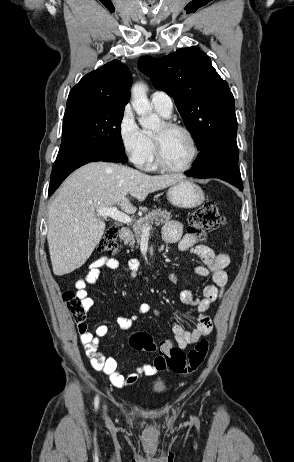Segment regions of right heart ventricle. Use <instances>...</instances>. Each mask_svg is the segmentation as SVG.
Segmentation results:
<instances>
[{"label": "right heart ventricle", "instance_id": "right-heart-ventricle-1", "mask_svg": "<svg viewBox=\"0 0 294 462\" xmlns=\"http://www.w3.org/2000/svg\"><path fill=\"white\" fill-rule=\"evenodd\" d=\"M157 112L160 115H162L163 117H168L167 115L163 114L159 110H157ZM144 135H145V139H146L147 150H146V155H145V158H144L141 166L146 170L153 171V170H156V168H157L156 163H155V157H154L153 134L150 133V132L145 131Z\"/></svg>", "mask_w": 294, "mask_h": 462}]
</instances>
